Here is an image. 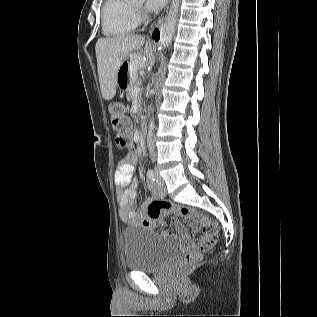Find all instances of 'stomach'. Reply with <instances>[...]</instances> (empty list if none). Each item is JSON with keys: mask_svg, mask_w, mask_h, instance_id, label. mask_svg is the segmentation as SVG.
<instances>
[{"mask_svg": "<svg viewBox=\"0 0 317 317\" xmlns=\"http://www.w3.org/2000/svg\"><path fill=\"white\" fill-rule=\"evenodd\" d=\"M143 61V55H125L120 68L117 70V78L114 85L116 94H127V87L138 81L135 75L140 71Z\"/></svg>", "mask_w": 317, "mask_h": 317, "instance_id": "0dacf381", "label": "stomach"}]
</instances>
